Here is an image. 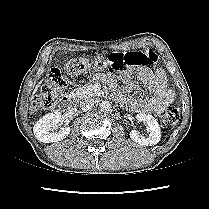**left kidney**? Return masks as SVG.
Instances as JSON below:
<instances>
[{
    "label": "left kidney",
    "instance_id": "1",
    "mask_svg": "<svg viewBox=\"0 0 209 209\" xmlns=\"http://www.w3.org/2000/svg\"><path fill=\"white\" fill-rule=\"evenodd\" d=\"M138 121H142L147 126V131L149 133L148 137L140 134L136 130L130 132V137L133 141L140 145L152 146L157 144L161 138L160 126L151 114L139 113L136 115Z\"/></svg>",
    "mask_w": 209,
    "mask_h": 209
}]
</instances>
